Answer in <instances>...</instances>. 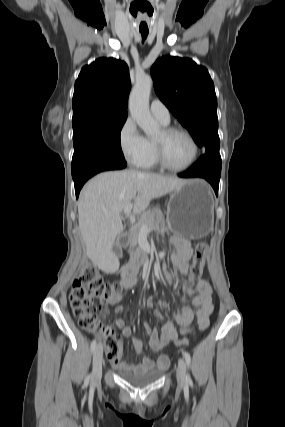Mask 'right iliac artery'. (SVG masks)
<instances>
[{"mask_svg": "<svg viewBox=\"0 0 285 427\" xmlns=\"http://www.w3.org/2000/svg\"><path fill=\"white\" fill-rule=\"evenodd\" d=\"M95 348H96V340H93V341H92V343H91V352H94V351H95ZM89 379H90V376H88V377L86 378V380H85V383H86V384H88Z\"/></svg>", "mask_w": 285, "mask_h": 427, "instance_id": "right-iliac-artery-1", "label": "right iliac artery"}]
</instances>
